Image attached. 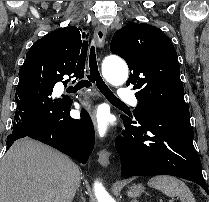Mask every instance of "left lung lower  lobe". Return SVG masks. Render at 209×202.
Returning <instances> with one entry per match:
<instances>
[{
    "mask_svg": "<svg viewBox=\"0 0 209 202\" xmlns=\"http://www.w3.org/2000/svg\"><path fill=\"white\" fill-rule=\"evenodd\" d=\"M121 118L126 131L115 139V146L121 157L122 177L177 176L195 182L209 195L193 145L189 112L143 107L135 120Z\"/></svg>",
    "mask_w": 209,
    "mask_h": 202,
    "instance_id": "left-lung-lower-lobe-1",
    "label": "left lung lower lobe"
}]
</instances>
